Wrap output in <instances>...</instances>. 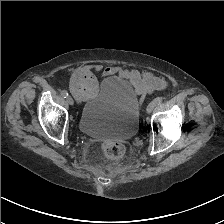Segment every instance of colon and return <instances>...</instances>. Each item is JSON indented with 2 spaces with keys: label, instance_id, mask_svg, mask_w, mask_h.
<instances>
[{
  "label": "colon",
  "instance_id": "5ec220e1",
  "mask_svg": "<svg viewBox=\"0 0 224 224\" xmlns=\"http://www.w3.org/2000/svg\"><path fill=\"white\" fill-rule=\"evenodd\" d=\"M72 92L80 99L92 98L98 90V82L92 70L80 68L75 71L70 82ZM102 152L108 158H119L124 153V146L118 141H106Z\"/></svg>",
  "mask_w": 224,
  "mask_h": 224
}]
</instances>
